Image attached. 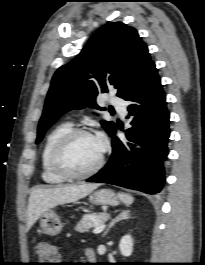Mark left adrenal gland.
<instances>
[{"label":"left adrenal gland","instance_id":"a2214340","mask_svg":"<svg viewBox=\"0 0 205 265\" xmlns=\"http://www.w3.org/2000/svg\"><path fill=\"white\" fill-rule=\"evenodd\" d=\"M130 218V211L129 210H123L121 211L118 216H116L108 225V227L106 228V230L104 231L102 237H105L106 234L109 232L110 228H112L114 226V224H116L117 222H119L120 220L123 219H128Z\"/></svg>","mask_w":205,"mask_h":265}]
</instances>
